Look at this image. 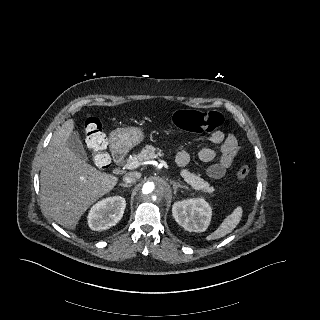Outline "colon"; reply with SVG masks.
<instances>
[{
	"label": "colon",
	"instance_id": "1",
	"mask_svg": "<svg viewBox=\"0 0 320 320\" xmlns=\"http://www.w3.org/2000/svg\"><path fill=\"white\" fill-rule=\"evenodd\" d=\"M174 124L181 130L192 133L210 132L224 124V117L218 112H203L195 109H182L173 114ZM85 143L88 149L94 153L95 162L100 168L109 166V158L104 153L107 145L106 135L101 121L96 117H90L85 122ZM249 168L241 164L236 176L239 180L247 179Z\"/></svg>",
	"mask_w": 320,
	"mask_h": 320
}]
</instances>
